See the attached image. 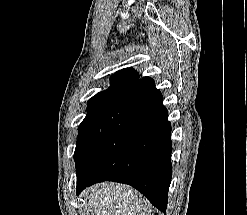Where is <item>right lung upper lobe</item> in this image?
<instances>
[{
	"mask_svg": "<svg viewBox=\"0 0 247 215\" xmlns=\"http://www.w3.org/2000/svg\"><path fill=\"white\" fill-rule=\"evenodd\" d=\"M139 80L141 79L136 74V71L134 69H123L112 75L111 87H109L106 91L115 89L126 90L137 83Z\"/></svg>",
	"mask_w": 247,
	"mask_h": 215,
	"instance_id": "1",
	"label": "right lung upper lobe"
}]
</instances>
